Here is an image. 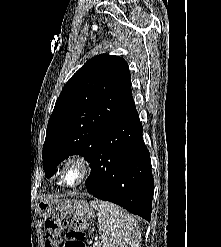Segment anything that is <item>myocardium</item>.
Instances as JSON below:
<instances>
[{"label":"myocardium","instance_id":"obj_1","mask_svg":"<svg viewBox=\"0 0 221 247\" xmlns=\"http://www.w3.org/2000/svg\"><path fill=\"white\" fill-rule=\"evenodd\" d=\"M70 168H76L79 173V179L73 183L70 184L66 180V176L68 173V170ZM91 173V163L89 159L82 155V154H75L73 156H70L63 164L62 170H61V182L67 187H77L82 185L90 176Z\"/></svg>","mask_w":221,"mask_h":247}]
</instances>
